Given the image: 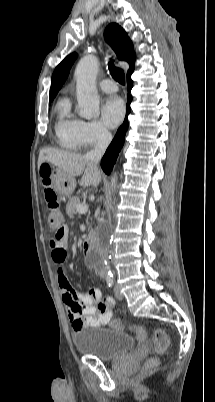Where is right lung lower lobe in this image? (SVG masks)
<instances>
[{"mask_svg": "<svg viewBox=\"0 0 215 402\" xmlns=\"http://www.w3.org/2000/svg\"><path fill=\"white\" fill-rule=\"evenodd\" d=\"M130 76L131 75H129L127 78V89L129 91L133 87V81L131 80ZM131 101H132V97L130 95H128L127 115L130 113V110H131L130 109ZM127 129H128V120H127V116H126L124 123L118 129L114 139L112 140L111 144L107 148V150L101 160V167L106 174H110V171L116 162L118 154L124 144V138H125Z\"/></svg>", "mask_w": 215, "mask_h": 402, "instance_id": "obj_1", "label": "right lung lower lobe"}]
</instances>
